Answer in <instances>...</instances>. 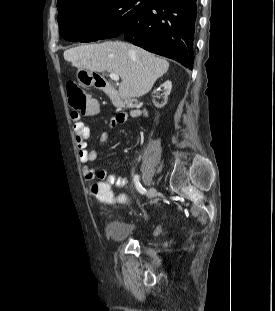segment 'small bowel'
<instances>
[{"label": "small bowel", "instance_id": "1", "mask_svg": "<svg viewBox=\"0 0 275 311\" xmlns=\"http://www.w3.org/2000/svg\"><path fill=\"white\" fill-rule=\"evenodd\" d=\"M95 114V113H93ZM141 116L140 110H132L130 112H122L117 114L110 121L109 126L115 127L120 123L127 121L130 117L138 118ZM73 119V130L75 133V140L78 148V158L82 164V173L84 178L88 182H94L96 180L99 183H114L115 186L121 187L126 184V179L123 176L117 175L116 173L108 172L105 168H94L90 166V163L94 162L98 156V149L105 146L108 139V134L103 133L96 141L95 148L90 149L88 147L87 140L89 138V130L85 123L80 119L79 113H72ZM93 189L91 188V191Z\"/></svg>", "mask_w": 275, "mask_h": 311}]
</instances>
